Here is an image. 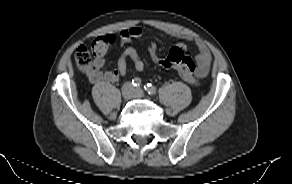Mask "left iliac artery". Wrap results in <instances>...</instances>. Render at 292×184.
Instances as JSON below:
<instances>
[{
  "mask_svg": "<svg viewBox=\"0 0 292 184\" xmlns=\"http://www.w3.org/2000/svg\"><path fill=\"white\" fill-rule=\"evenodd\" d=\"M144 89L147 91L148 94L150 95H155L157 93L156 88L151 84L147 83L144 85Z\"/></svg>",
  "mask_w": 292,
  "mask_h": 184,
  "instance_id": "left-iliac-artery-1",
  "label": "left iliac artery"
}]
</instances>
